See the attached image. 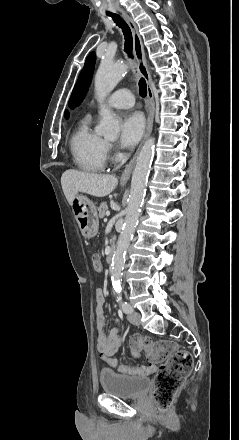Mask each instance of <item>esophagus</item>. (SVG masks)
<instances>
[{
	"mask_svg": "<svg viewBox=\"0 0 239 440\" xmlns=\"http://www.w3.org/2000/svg\"><path fill=\"white\" fill-rule=\"evenodd\" d=\"M122 15H123L124 19L126 20L127 24L129 25L130 30L132 32L134 53H135V57L137 59L139 73L147 82V95H148V98L150 101V110L148 112L147 128H146V133L144 136V140H146L152 132L153 120H154V114H155V102H154V92H153V88H152V81H151L150 73L147 69L144 48H143L141 36L139 35V32H138L137 25L132 20V18L129 17V15H127V13H125L124 11H122ZM139 149H140V147L137 149L133 158L130 160V162L126 166L124 172L122 173L121 179H120L121 183H126L129 180L130 175L132 173L133 165L135 163V159H136L137 154L139 152Z\"/></svg>",
	"mask_w": 239,
	"mask_h": 440,
	"instance_id": "34e87169",
	"label": "esophagus"
}]
</instances>
